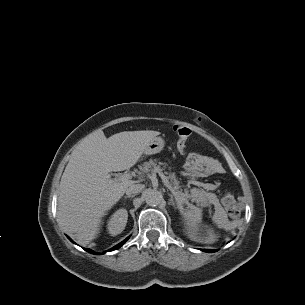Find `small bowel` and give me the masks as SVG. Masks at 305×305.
Masks as SVG:
<instances>
[{
    "instance_id": "1",
    "label": "small bowel",
    "mask_w": 305,
    "mask_h": 305,
    "mask_svg": "<svg viewBox=\"0 0 305 305\" xmlns=\"http://www.w3.org/2000/svg\"><path fill=\"white\" fill-rule=\"evenodd\" d=\"M181 151H184V149H180ZM201 162L207 167V169L210 172H216L217 171V164L215 161L210 159H201Z\"/></svg>"
}]
</instances>
